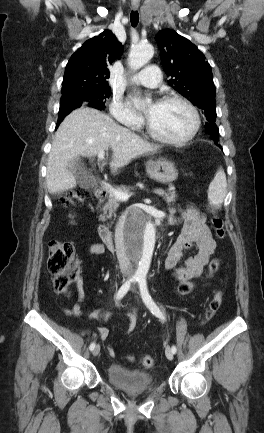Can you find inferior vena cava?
Here are the masks:
<instances>
[{"instance_id": "1", "label": "inferior vena cava", "mask_w": 264, "mask_h": 433, "mask_svg": "<svg viewBox=\"0 0 264 433\" xmlns=\"http://www.w3.org/2000/svg\"><path fill=\"white\" fill-rule=\"evenodd\" d=\"M121 224L122 221H120V226ZM114 240L116 241L114 249H115L116 257L119 259L120 269L123 273L128 274L130 262L126 260V255L123 250L124 242L122 241L123 237H122L121 230H117ZM131 252H140V251H131Z\"/></svg>"}]
</instances>
